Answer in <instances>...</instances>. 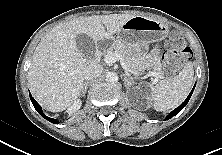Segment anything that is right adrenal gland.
<instances>
[{
    "mask_svg": "<svg viewBox=\"0 0 222 155\" xmlns=\"http://www.w3.org/2000/svg\"><path fill=\"white\" fill-rule=\"evenodd\" d=\"M89 83H90V81H86V82H84V84H83V88H82V90H81L83 96H85V94H86V92H87V88H88V84H89Z\"/></svg>",
    "mask_w": 222,
    "mask_h": 155,
    "instance_id": "2a0ac1e0",
    "label": "right adrenal gland"
}]
</instances>
